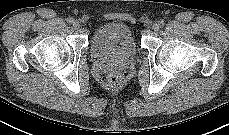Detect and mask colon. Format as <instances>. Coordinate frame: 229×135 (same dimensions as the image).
I'll list each match as a JSON object with an SVG mask.
<instances>
[{"label": "colon", "mask_w": 229, "mask_h": 135, "mask_svg": "<svg viewBox=\"0 0 229 135\" xmlns=\"http://www.w3.org/2000/svg\"><path fill=\"white\" fill-rule=\"evenodd\" d=\"M108 83L113 87H118L122 82V77L117 72H111L107 77Z\"/></svg>", "instance_id": "5ec220e1"}]
</instances>
